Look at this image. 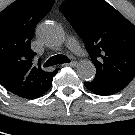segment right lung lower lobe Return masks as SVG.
Listing matches in <instances>:
<instances>
[{
	"instance_id": "right-lung-lower-lobe-1",
	"label": "right lung lower lobe",
	"mask_w": 135,
	"mask_h": 135,
	"mask_svg": "<svg viewBox=\"0 0 135 135\" xmlns=\"http://www.w3.org/2000/svg\"><path fill=\"white\" fill-rule=\"evenodd\" d=\"M50 87H51V86H50ZM50 87H49V88H50ZM49 88H48V89H49ZM48 89H46L45 91H43V92L40 93V94H37V95H34V96H30V97H26V99H35V98H37V97L43 95Z\"/></svg>"
}]
</instances>
